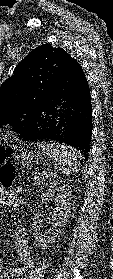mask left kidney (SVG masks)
<instances>
[{"label":"left kidney","instance_id":"1","mask_svg":"<svg viewBox=\"0 0 113 279\" xmlns=\"http://www.w3.org/2000/svg\"><path fill=\"white\" fill-rule=\"evenodd\" d=\"M56 195L59 199L60 209L54 212V225L47 232H41V214L40 212L34 213L33 218V231L35 237V243L38 247L45 249L49 244L53 243L58 236L59 232L64 227L71 206V187L69 185L54 183L49 186L45 193L41 196L42 202L52 200V197Z\"/></svg>","mask_w":113,"mask_h":279}]
</instances>
